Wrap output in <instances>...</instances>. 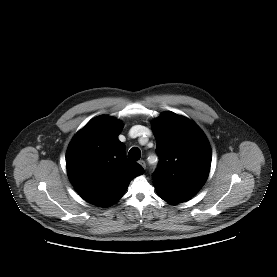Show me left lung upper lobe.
<instances>
[{
	"instance_id": "left-lung-upper-lobe-1",
	"label": "left lung upper lobe",
	"mask_w": 277,
	"mask_h": 277,
	"mask_svg": "<svg viewBox=\"0 0 277 277\" xmlns=\"http://www.w3.org/2000/svg\"><path fill=\"white\" fill-rule=\"evenodd\" d=\"M153 133L159 154L155 188L190 198L205 183L211 165V148L200 128L172 112L154 120Z\"/></svg>"
}]
</instances>
